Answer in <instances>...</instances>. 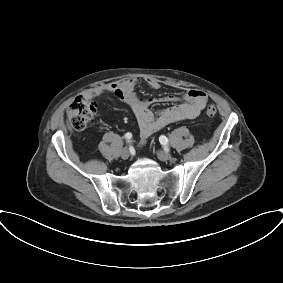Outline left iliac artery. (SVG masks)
<instances>
[{
	"label": "left iliac artery",
	"mask_w": 283,
	"mask_h": 283,
	"mask_svg": "<svg viewBox=\"0 0 283 283\" xmlns=\"http://www.w3.org/2000/svg\"><path fill=\"white\" fill-rule=\"evenodd\" d=\"M159 141H160V143L162 144V145H167L168 144V138L166 137V136H164V135H161L160 137H159Z\"/></svg>",
	"instance_id": "left-iliac-artery-1"
}]
</instances>
